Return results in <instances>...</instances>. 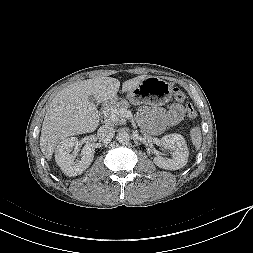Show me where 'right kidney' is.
Listing matches in <instances>:
<instances>
[{"instance_id": "right-kidney-1", "label": "right kidney", "mask_w": 253, "mask_h": 253, "mask_svg": "<svg viewBox=\"0 0 253 253\" xmlns=\"http://www.w3.org/2000/svg\"><path fill=\"white\" fill-rule=\"evenodd\" d=\"M76 137L66 138L62 140L55 150V161L67 176H77L85 171L94 158V146L86 144L82 148V157L80 160L75 159L76 154L71 153L72 148L78 146Z\"/></svg>"}]
</instances>
